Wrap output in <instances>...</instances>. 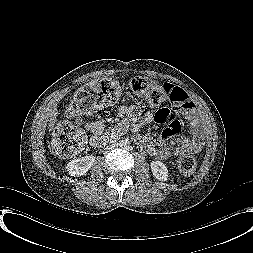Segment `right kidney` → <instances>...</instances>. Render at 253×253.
<instances>
[{
  "mask_svg": "<svg viewBox=\"0 0 253 253\" xmlns=\"http://www.w3.org/2000/svg\"><path fill=\"white\" fill-rule=\"evenodd\" d=\"M95 162V156L89 155L71 160L66 169L71 176H81L88 172Z\"/></svg>",
  "mask_w": 253,
  "mask_h": 253,
  "instance_id": "right-kidney-1",
  "label": "right kidney"
}]
</instances>
